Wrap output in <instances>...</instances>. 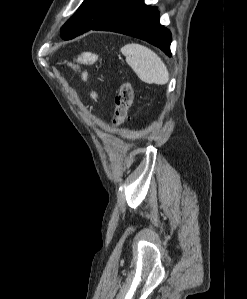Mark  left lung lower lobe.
Listing matches in <instances>:
<instances>
[{"label": "left lung lower lobe", "instance_id": "obj_1", "mask_svg": "<svg viewBox=\"0 0 247 299\" xmlns=\"http://www.w3.org/2000/svg\"><path fill=\"white\" fill-rule=\"evenodd\" d=\"M90 30L112 31L136 37L171 56V33L160 24L157 8L145 5L143 0H126Z\"/></svg>", "mask_w": 247, "mask_h": 299}]
</instances>
